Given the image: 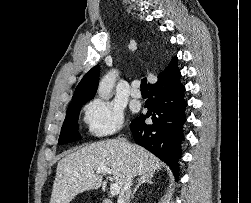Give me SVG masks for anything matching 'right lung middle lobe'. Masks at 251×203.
<instances>
[{"mask_svg":"<svg viewBox=\"0 0 251 203\" xmlns=\"http://www.w3.org/2000/svg\"><path fill=\"white\" fill-rule=\"evenodd\" d=\"M87 101L70 104L63 123L58 144L70 143L79 140L78 135V117L81 105Z\"/></svg>","mask_w":251,"mask_h":203,"instance_id":"dd1d6c3e","label":"right lung middle lobe"}]
</instances>
